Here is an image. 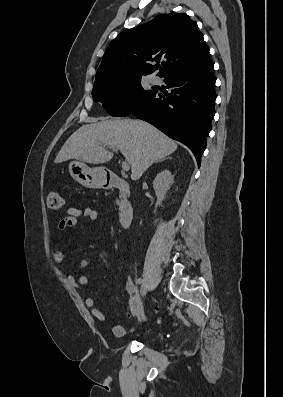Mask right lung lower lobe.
<instances>
[{"mask_svg":"<svg viewBox=\"0 0 283 397\" xmlns=\"http://www.w3.org/2000/svg\"><path fill=\"white\" fill-rule=\"evenodd\" d=\"M164 78L165 83L173 88L171 93L164 97L156 92L130 114L185 144L200 166L206 138L211 131V120L215 115L213 62L209 58L175 70Z\"/></svg>","mask_w":283,"mask_h":397,"instance_id":"obj_1","label":"right lung lower lobe"}]
</instances>
